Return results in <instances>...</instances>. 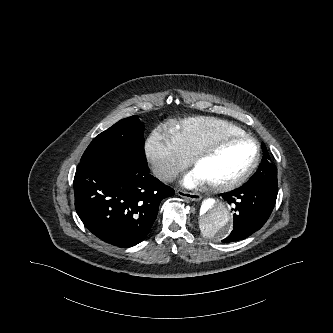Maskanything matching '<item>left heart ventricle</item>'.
Segmentation results:
<instances>
[{
    "label": "left heart ventricle",
    "instance_id": "left-heart-ventricle-1",
    "mask_svg": "<svg viewBox=\"0 0 333 333\" xmlns=\"http://www.w3.org/2000/svg\"><path fill=\"white\" fill-rule=\"evenodd\" d=\"M254 155L255 145L250 141H224L198 163L196 170L206 182H226L240 175Z\"/></svg>",
    "mask_w": 333,
    "mask_h": 333
}]
</instances>
